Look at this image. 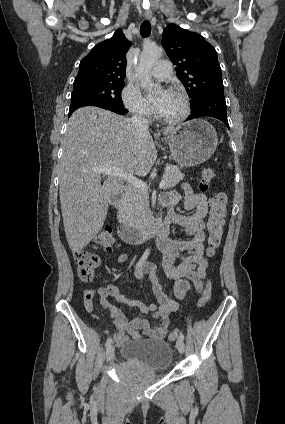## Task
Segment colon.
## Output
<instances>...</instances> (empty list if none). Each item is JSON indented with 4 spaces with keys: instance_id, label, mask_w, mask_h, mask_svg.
Listing matches in <instances>:
<instances>
[{
    "instance_id": "colon-1",
    "label": "colon",
    "mask_w": 285,
    "mask_h": 424,
    "mask_svg": "<svg viewBox=\"0 0 285 424\" xmlns=\"http://www.w3.org/2000/svg\"><path fill=\"white\" fill-rule=\"evenodd\" d=\"M215 177L213 168H205L199 180V191L206 193L209 190L210 184ZM228 197L225 193L219 192L210 200V216L208 221V246L215 251L220 245L226 216H227ZM99 245L109 250L114 245V237L110 226H103L96 238ZM74 258L77 263V273L82 281L93 280L96 271L100 267V258L87 250H79L74 253ZM210 283L207 282L206 288L199 299V307L205 306L210 300ZM178 331L174 330L169 334V340L174 341L177 338Z\"/></svg>"
}]
</instances>
